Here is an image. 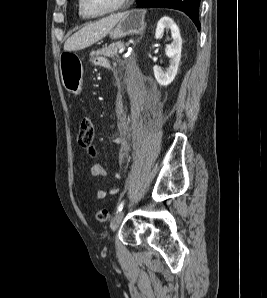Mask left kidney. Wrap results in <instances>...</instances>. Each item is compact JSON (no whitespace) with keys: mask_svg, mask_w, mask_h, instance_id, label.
Listing matches in <instances>:
<instances>
[{"mask_svg":"<svg viewBox=\"0 0 267 298\" xmlns=\"http://www.w3.org/2000/svg\"><path fill=\"white\" fill-rule=\"evenodd\" d=\"M165 29L171 31L172 42L166 46L165 53L170 58V66L163 71L161 67L154 66V76L162 86H168L176 77L182 50V38L176 23L170 17H163L157 23L155 38L160 39Z\"/></svg>","mask_w":267,"mask_h":298,"instance_id":"left-kidney-1","label":"left kidney"}]
</instances>
